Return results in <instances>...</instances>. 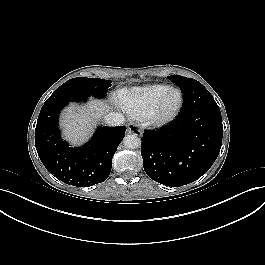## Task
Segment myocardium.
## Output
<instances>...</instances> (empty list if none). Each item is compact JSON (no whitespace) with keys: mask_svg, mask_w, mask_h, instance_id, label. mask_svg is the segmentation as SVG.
<instances>
[{"mask_svg":"<svg viewBox=\"0 0 265 265\" xmlns=\"http://www.w3.org/2000/svg\"><path fill=\"white\" fill-rule=\"evenodd\" d=\"M170 92L178 94V101L176 105L169 111L163 109L164 102ZM184 102L183 93L179 88L168 87L167 90L161 94L152 105L147 116L145 117L144 124L149 127L161 128L172 123L182 110Z\"/></svg>","mask_w":265,"mask_h":265,"instance_id":"1","label":"myocardium"}]
</instances>
